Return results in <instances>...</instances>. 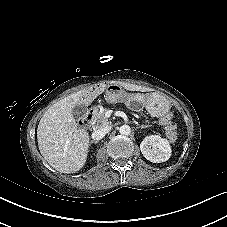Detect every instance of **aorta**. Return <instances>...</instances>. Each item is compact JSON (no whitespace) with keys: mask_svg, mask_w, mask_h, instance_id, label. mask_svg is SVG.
Segmentation results:
<instances>
[{"mask_svg":"<svg viewBox=\"0 0 227 227\" xmlns=\"http://www.w3.org/2000/svg\"><path fill=\"white\" fill-rule=\"evenodd\" d=\"M119 132L120 134L122 135H129L131 133V128L129 125H122L120 128H119Z\"/></svg>","mask_w":227,"mask_h":227,"instance_id":"1","label":"aorta"}]
</instances>
